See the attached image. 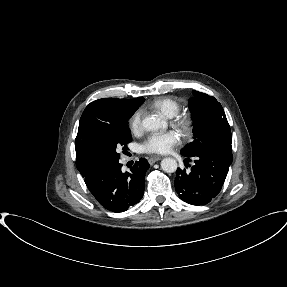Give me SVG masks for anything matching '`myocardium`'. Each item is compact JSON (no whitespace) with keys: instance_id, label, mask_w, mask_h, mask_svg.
<instances>
[{"instance_id":"myocardium-1","label":"myocardium","mask_w":287,"mask_h":287,"mask_svg":"<svg viewBox=\"0 0 287 287\" xmlns=\"http://www.w3.org/2000/svg\"><path fill=\"white\" fill-rule=\"evenodd\" d=\"M177 124L184 130L189 131L192 127V121L188 116H182L177 119Z\"/></svg>"}]
</instances>
